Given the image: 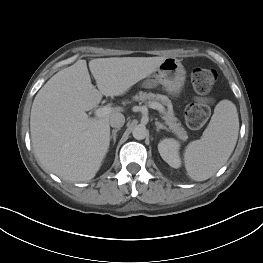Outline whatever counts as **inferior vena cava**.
<instances>
[{
    "label": "inferior vena cava",
    "instance_id": "inferior-vena-cava-1",
    "mask_svg": "<svg viewBox=\"0 0 263 263\" xmlns=\"http://www.w3.org/2000/svg\"><path fill=\"white\" fill-rule=\"evenodd\" d=\"M109 123H110L111 127L120 128L125 123V117L123 114L116 112V113L111 115V117L109 119Z\"/></svg>",
    "mask_w": 263,
    "mask_h": 263
}]
</instances>
